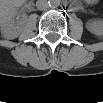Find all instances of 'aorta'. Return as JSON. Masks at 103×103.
<instances>
[{
  "instance_id": "aorta-1",
  "label": "aorta",
  "mask_w": 103,
  "mask_h": 103,
  "mask_svg": "<svg viewBox=\"0 0 103 103\" xmlns=\"http://www.w3.org/2000/svg\"><path fill=\"white\" fill-rule=\"evenodd\" d=\"M59 5V2L57 0H50L49 6L50 7H57Z\"/></svg>"
}]
</instances>
